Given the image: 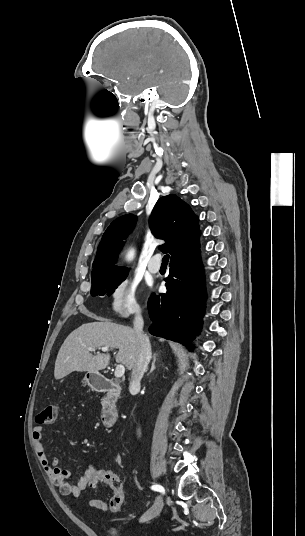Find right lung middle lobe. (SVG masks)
I'll list each match as a JSON object with an SVG mask.
<instances>
[{
    "label": "right lung middle lobe",
    "mask_w": 305,
    "mask_h": 536,
    "mask_svg": "<svg viewBox=\"0 0 305 536\" xmlns=\"http://www.w3.org/2000/svg\"><path fill=\"white\" fill-rule=\"evenodd\" d=\"M128 273L100 280H93L91 287V295H108L110 296L114 290L120 285L127 277Z\"/></svg>",
    "instance_id": "right-lung-middle-lobe-1"
}]
</instances>
